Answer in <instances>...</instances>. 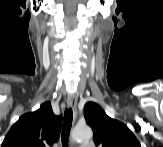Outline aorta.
I'll return each instance as SVG.
<instances>
[{
  "mask_svg": "<svg viewBox=\"0 0 163 147\" xmlns=\"http://www.w3.org/2000/svg\"><path fill=\"white\" fill-rule=\"evenodd\" d=\"M92 130L91 128L84 124V125H77L72 133V137L76 141H87L92 138Z\"/></svg>",
  "mask_w": 163,
  "mask_h": 147,
  "instance_id": "aorta-1",
  "label": "aorta"
}]
</instances>
